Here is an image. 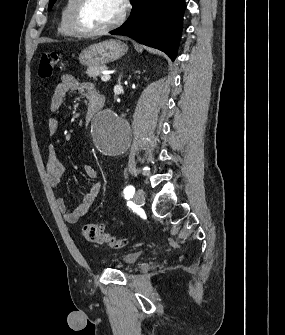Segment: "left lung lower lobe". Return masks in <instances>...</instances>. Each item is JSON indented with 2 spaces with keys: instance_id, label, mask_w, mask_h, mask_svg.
Masks as SVG:
<instances>
[{
  "instance_id": "obj_1",
  "label": "left lung lower lobe",
  "mask_w": 285,
  "mask_h": 335,
  "mask_svg": "<svg viewBox=\"0 0 285 335\" xmlns=\"http://www.w3.org/2000/svg\"><path fill=\"white\" fill-rule=\"evenodd\" d=\"M132 13L111 32L165 52L173 61L183 26L185 0H131Z\"/></svg>"
}]
</instances>
